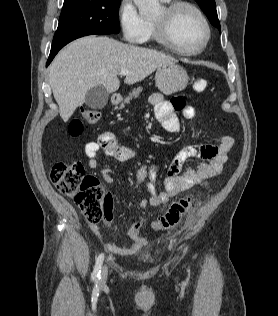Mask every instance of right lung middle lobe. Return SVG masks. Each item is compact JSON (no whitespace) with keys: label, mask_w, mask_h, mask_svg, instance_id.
Listing matches in <instances>:
<instances>
[{"label":"right lung middle lobe","mask_w":278,"mask_h":316,"mask_svg":"<svg viewBox=\"0 0 278 316\" xmlns=\"http://www.w3.org/2000/svg\"><path fill=\"white\" fill-rule=\"evenodd\" d=\"M121 0H64L51 48L86 35L119 32Z\"/></svg>","instance_id":"dd1d6c3e"}]
</instances>
